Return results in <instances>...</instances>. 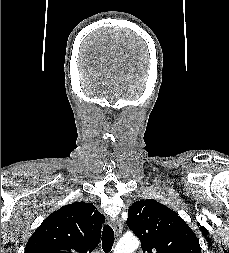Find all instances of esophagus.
Returning a JSON list of instances; mask_svg holds the SVG:
<instances>
[{
	"label": "esophagus",
	"mask_w": 229,
	"mask_h": 253,
	"mask_svg": "<svg viewBox=\"0 0 229 253\" xmlns=\"http://www.w3.org/2000/svg\"><path fill=\"white\" fill-rule=\"evenodd\" d=\"M113 228L117 236H120L123 231V222L120 219H115L113 222Z\"/></svg>",
	"instance_id": "1"
}]
</instances>
